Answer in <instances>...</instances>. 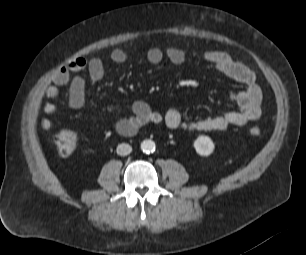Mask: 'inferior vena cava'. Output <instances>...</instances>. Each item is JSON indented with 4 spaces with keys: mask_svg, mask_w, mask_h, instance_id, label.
<instances>
[{
    "mask_svg": "<svg viewBox=\"0 0 306 255\" xmlns=\"http://www.w3.org/2000/svg\"><path fill=\"white\" fill-rule=\"evenodd\" d=\"M132 147L129 144L122 143L117 146V154L120 156H126L130 154Z\"/></svg>",
    "mask_w": 306,
    "mask_h": 255,
    "instance_id": "obj_1",
    "label": "inferior vena cava"
}]
</instances>
